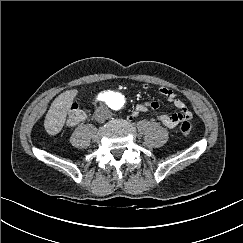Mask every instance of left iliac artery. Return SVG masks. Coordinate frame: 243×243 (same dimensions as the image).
<instances>
[{"instance_id": "obj_1", "label": "left iliac artery", "mask_w": 243, "mask_h": 243, "mask_svg": "<svg viewBox=\"0 0 243 243\" xmlns=\"http://www.w3.org/2000/svg\"><path fill=\"white\" fill-rule=\"evenodd\" d=\"M112 105H114V101L111 102L110 106L112 107Z\"/></svg>"}]
</instances>
